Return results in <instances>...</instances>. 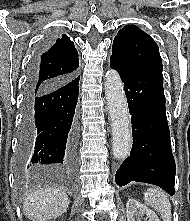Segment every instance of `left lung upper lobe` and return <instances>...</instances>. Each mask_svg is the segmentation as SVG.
<instances>
[{"label":"left lung upper lobe","mask_w":190,"mask_h":221,"mask_svg":"<svg viewBox=\"0 0 190 221\" xmlns=\"http://www.w3.org/2000/svg\"><path fill=\"white\" fill-rule=\"evenodd\" d=\"M111 58L125 67L162 75V61L155 41L134 25L122 28L114 39Z\"/></svg>","instance_id":"left-lung-upper-lobe-1"}]
</instances>
